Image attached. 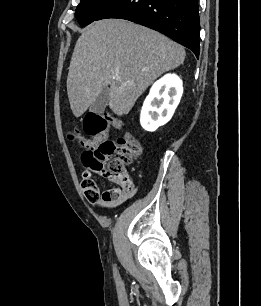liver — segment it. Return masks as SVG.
<instances>
[{"mask_svg":"<svg viewBox=\"0 0 261 306\" xmlns=\"http://www.w3.org/2000/svg\"><path fill=\"white\" fill-rule=\"evenodd\" d=\"M185 56L181 45L147 27L123 19L94 22L78 38L70 61L67 93L74 116H82L108 85L110 109L128 114L147 87Z\"/></svg>","mask_w":261,"mask_h":306,"instance_id":"1","label":"liver"}]
</instances>
